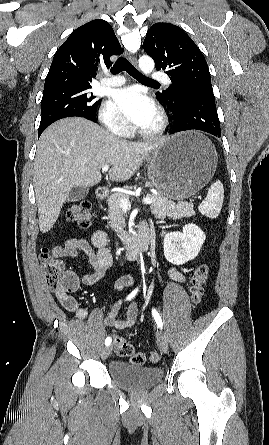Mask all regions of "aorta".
Segmentation results:
<instances>
[{
    "instance_id": "1",
    "label": "aorta",
    "mask_w": 269,
    "mask_h": 445,
    "mask_svg": "<svg viewBox=\"0 0 269 445\" xmlns=\"http://www.w3.org/2000/svg\"><path fill=\"white\" fill-rule=\"evenodd\" d=\"M154 61L151 57L149 56H142L139 59V67L142 70V72H144L145 74H149L153 71L154 69Z\"/></svg>"
}]
</instances>
